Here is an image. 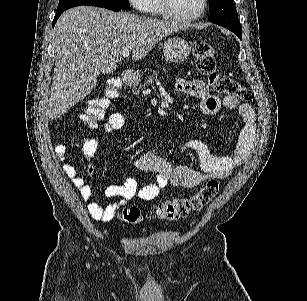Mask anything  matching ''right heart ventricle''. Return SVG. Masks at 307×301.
<instances>
[{"instance_id":"right-heart-ventricle-1","label":"right heart ventricle","mask_w":307,"mask_h":301,"mask_svg":"<svg viewBox=\"0 0 307 301\" xmlns=\"http://www.w3.org/2000/svg\"><path fill=\"white\" fill-rule=\"evenodd\" d=\"M162 4V0H152L151 1V8H156L157 7H160Z\"/></svg>"}]
</instances>
